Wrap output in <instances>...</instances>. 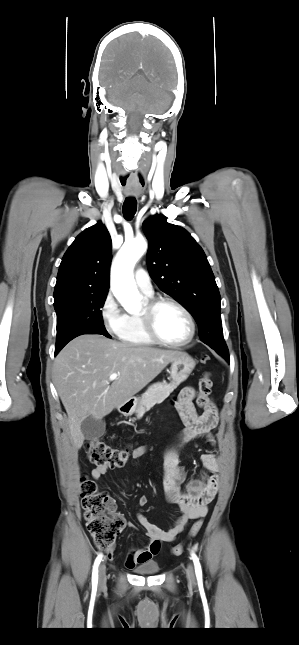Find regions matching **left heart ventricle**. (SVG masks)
Instances as JSON below:
<instances>
[{
  "label": "left heart ventricle",
  "instance_id": "left-heart-ventricle-1",
  "mask_svg": "<svg viewBox=\"0 0 299 645\" xmlns=\"http://www.w3.org/2000/svg\"><path fill=\"white\" fill-rule=\"evenodd\" d=\"M155 326L158 334L169 341L185 339L190 330L188 320L183 312L169 304L158 308L155 315Z\"/></svg>",
  "mask_w": 299,
  "mask_h": 645
}]
</instances>
